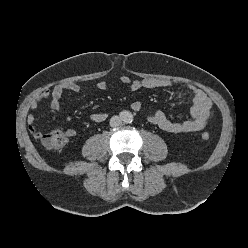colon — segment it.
<instances>
[{
    "mask_svg": "<svg viewBox=\"0 0 248 248\" xmlns=\"http://www.w3.org/2000/svg\"><path fill=\"white\" fill-rule=\"evenodd\" d=\"M210 137L208 132H203L201 138L203 140H208ZM67 136L59 130H52L48 133H42L40 136V141L42 144L51 150H59L65 146L67 143Z\"/></svg>",
    "mask_w": 248,
    "mask_h": 248,
    "instance_id": "colon-1",
    "label": "colon"
}]
</instances>
